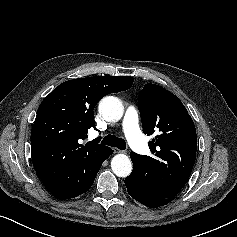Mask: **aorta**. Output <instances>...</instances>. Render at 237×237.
Listing matches in <instances>:
<instances>
[{
  "label": "aorta",
  "instance_id": "1",
  "mask_svg": "<svg viewBox=\"0 0 237 237\" xmlns=\"http://www.w3.org/2000/svg\"><path fill=\"white\" fill-rule=\"evenodd\" d=\"M98 110L107 121H118L123 115L121 101L113 96H106L100 102ZM111 168L118 177H127L132 171V163L128 156L117 154L111 160Z\"/></svg>",
  "mask_w": 237,
  "mask_h": 237
}]
</instances>
